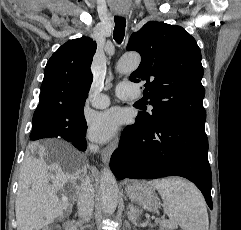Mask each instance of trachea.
I'll return each instance as SVG.
<instances>
[{
    "label": "trachea",
    "instance_id": "1",
    "mask_svg": "<svg viewBox=\"0 0 241 230\" xmlns=\"http://www.w3.org/2000/svg\"><path fill=\"white\" fill-rule=\"evenodd\" d=\"M114 22H115V28H114L113 37H114V40L120 44L124 38L126 20L123 17L115 16Z\"/></svg>",
    "mask_w": 241,
    "mask_h": 230
}]
</instances>
